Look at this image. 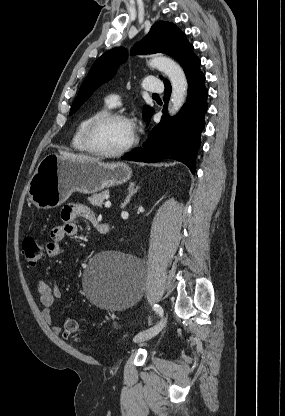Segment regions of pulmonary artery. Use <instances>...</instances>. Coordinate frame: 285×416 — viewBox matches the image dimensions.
Masks as SVG:
<instances>
[{
    "label": "pulmonary artery",
    "mask_w": 285,
    "mask_h": 416,
    "mask_svg": "<svg viewBox=\"0 0 285 416\" xmlns=\"http://www.w3.org/2000/svg\"><path fill=\"white\" fill-rule=\"evenodd\" d=\"M150 80H155L153 76H148L145 78L143 87L149 91L151 96H158L162 90V85L159 83H150ZM157 82V81H156ZM120 100V95L118 93H113L111 97L106 99L108 106L113 107L116 105V102Z\"/></svg>",
    "instance_id": "1"
}]
</instances>
